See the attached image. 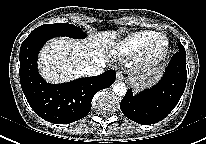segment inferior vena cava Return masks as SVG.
<instances>
[{"label":"inferior vena cava","instance_id":"1","mask_svg":"<svg viewBox=\"0 0 206 144\" xmlns=\"http://www.w3.org/2000/svg\"><path fill=\"white\" fill-rule=\"evenodd\" d=\"M105 67V64H95L92 66H88L83 69V73L88 76H97L103 73V68Z\"/></svg>","mask_w":206,"mask_h":144}]
</instances>
